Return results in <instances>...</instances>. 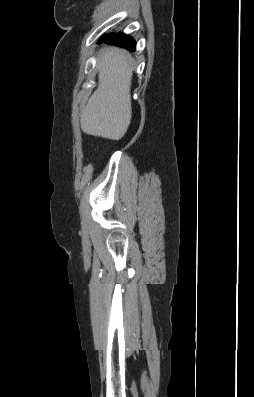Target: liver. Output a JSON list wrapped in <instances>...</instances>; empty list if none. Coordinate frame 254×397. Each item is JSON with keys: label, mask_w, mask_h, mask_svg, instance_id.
<instances>
[{"label": "liver", "mask_w": 254, "mask_h": 397, "mask_svg": "<svg viewBox=\"0 0 254 397\" xmlns=\"http://www.w3.org/2000/svg\"><path fill=\"white\" fill-rule=\"evenodd\" d=\"M97 68L98 87L82 110L81 129L88 135L120 140L132 116L131 56L119 48H104Z\"/></svg>", "instance_id": "1"}]
</instances>
